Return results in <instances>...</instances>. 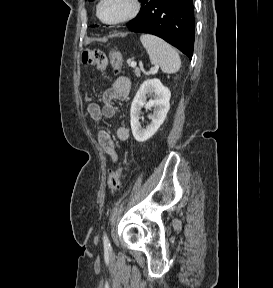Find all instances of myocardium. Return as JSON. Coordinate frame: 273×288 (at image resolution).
<instances>
[{"instance_id": "1", "label": "myocardium", "mask_w": 273, "mask_h": 288, "mask_svg": "<svg viewBox=\"0 0 273 288\" xmlns=\"http://www.w3.org/2000/svg\"><path fill=\"white\" fill-rule=\"evenodd\" d=\"M105 1L106 0H99L97 7H96V15L102 23L107 24V25H117V24L131 21L134 18H136L141 11L140 0H128V2L130 3V9L126 14L114 20H105L102 18L101 13H100L101 7L105 3Z\"/></svg>"}]
</instances>
